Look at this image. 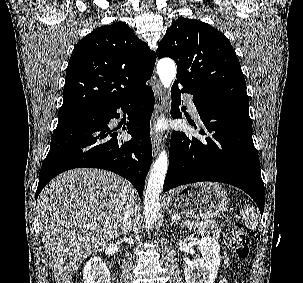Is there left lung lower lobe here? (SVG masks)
<instances>
[{
  "mask_svg": "<svg viewBox=\"0 0 303 283\" xmlns=\"http://www.w3.org/2000/svg\"><path fill=\"white\" fill-rule=\"evenodd\" d=\"M174 83L171 115L180 118L181 93L194 96L193 102L204 127L199 140L174 131L171 137L169 168L164 191L201 181L234 185L248 193L260 213L264 210L265 190L260 161L252 140L248 104L217 96L198 95Z\"/></svg>",
  "mask_w": 303,
  "mask_h": 283,
  "instance_id": "1",
  "label": "left lung lower lobe"
}]
</instances>
